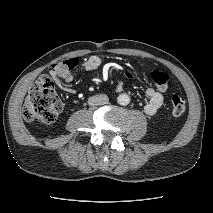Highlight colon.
<instances>
[{"instance_id": "colon-1", "label": "colon", "mask_w": 213, "mask_h": 213, "mask_svg": "<svg viewBox=\"0 0 213 213\" xmlns=\"http://www.w3.org/2000/svg\"><path fill=\"white\" fill-rule=\"evenodd\" d=\"M77 64V59H67L54 64L52 72L55 76L62 77L74 69ZM150 76L160 91L167 89L169 82L167 73L154 70ZM170 104L174 115L179 116L185 112V100L180 95L173 94L170 98ZM61 111L62 102L54 89L52 80L48 76L38 77L24 102L23 118L28 122L51 123L57 119Z\"/></svg>"}]
</instances>
